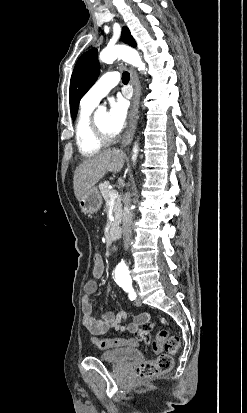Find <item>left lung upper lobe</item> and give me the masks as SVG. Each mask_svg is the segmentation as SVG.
<instances>
[{
  "label": "left lung upper lobe",
  "instance_id": "left-lung-upper-lobe-1",
  "mask_svg": "<svg viewBox=\"0 0 247 413\" xmlns=\"http://www.w3.org/2000/svg\"><path fill=\"white\" fill-rule=\"evenodd\" d=\"M122 40L132 47L136 42L127 27H124L121 35ZM100 66L98 63L97 49L85 52L77 61L70 81L69 101L72 119L77 114L80 99L91 88L99 76Z\"/></svg>",
  "mask_w": 247,
  "mask_h": 413
}]
</instances>
